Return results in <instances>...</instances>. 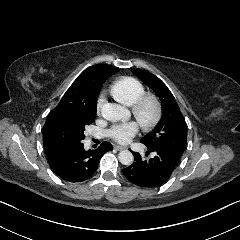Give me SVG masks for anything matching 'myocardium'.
Here are the masks:
<instances>
[{
    "instance_id": "myocardium-1",
    "label": "myocardium",
    "mask_w": 240,
    "mask_h": 240,
    "mask_svg": "<svg viewBox=\"0 0 240 240\" xmlns=\"http://www.w3.org/2000/svg\"><path fill=\"white\" fill-rule=\"evenodd\" d=\"M150 104L153 107V115L150 120L143 119V109ZM132 114L139 123L140 127L145 131L154 129L160 122L163 115V108L157 96L146 93L140 96L132 106Z\"/></svg>"
}]
</instances>
